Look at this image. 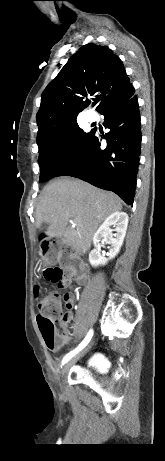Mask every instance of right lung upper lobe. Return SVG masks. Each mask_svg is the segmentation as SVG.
<instances>
[{
  "mask_svg": "<svg viewBox=\"0 0 165 461\" xmlns=\"http://www.w3.org/2000/svg\"><path fill=\"white\" fill-rule=\"evenodd\" d=\"M95 96L101 114L134 95L120 58L107 46L88 43L72 55L41 96L37 139L77 118Z\"/></svg>",
  "mask_w": 165,
  "mask_h": 461,
  "instance_id": "right-lung-upper-lobe-1",
  "label": "right lung upper lobe"
}]
</instances>
